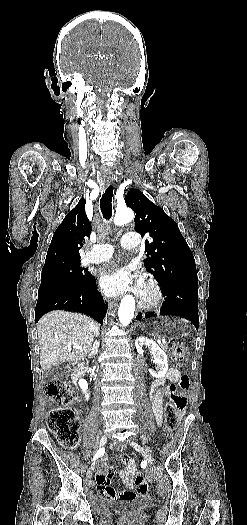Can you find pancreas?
Returning a JSON list of instances; mask_svg holds the SVG:
<instances>
[{
    "label": "pancreas",
    "instance_id": "obj_1",
    "mask_svg": "<svg viewBox=\"0 0 247 525\" xmlns=\"http://www.w3.org/2000/svg\"><path fill=\"white\" fill-rule=\"evenodd\" d=\"M161 349H164V351H167L168 349V345L167 343H162V345H160Z\"/></svg>",
    "mask_w": 247,
    "mask_h": 525
}]
</instances>
